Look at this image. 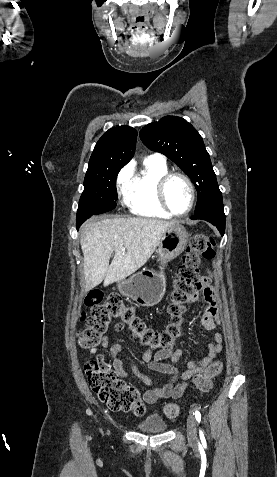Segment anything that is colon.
<instances>
[{"mask_svg": "<svg viewBox=\"0 0 277 477\" xmlns=\"http://www.w3.org/2000/svg\"><path fill=\"white\" fill-rule=\"evenodd\" d=\"M214 240L206 234L194 235L177 268L173 282V291L169 305L170 323L163 330L149 327L132 306L125 305L117 295H110L103 302L101 290H92L84 298V305L90 309V314H82L81 320L85 328L78 332V344L82 348L99 346L111 323L119 319L131 334L147 347L160 350H173L176 340L182 336L183 315L187 304L192 302L201 289L200 275L201 258H214ZM223 369V363L216 361L204 372L195 377L196 389L207 392L212 387V378ZM85 373L90 388L97 394L100 401L113 411L133 412L140 415L144 406L138 391L126 385L114 370L103 360H90L85 364ZM168 418H176L180 414V406L169 403L164 408Z\"/></svg>", "mask_w": 277, "mask_h": 477, "instance_id": "5ec220e1", "label": "colon"}]
</instances>
